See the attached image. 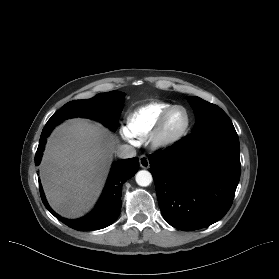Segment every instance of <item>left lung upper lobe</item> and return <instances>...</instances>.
I'll list each match as a JSON object with an SVG mask.
<instances>
[{
	"instance_id": "5c2ea615",
	"label": "left lung upper lobe",
	"mask_w": 279,
	"mask_h": 279,
	"mask_svg": "<svg viewBox=\"0 0 279 279\" xmlns=\"http://www.w3.org/2000/svg\"><path fill=\"white\" fill-rule=\"evenodd\" d=\"M196 118L192 132L214 127H234L227 114L217 105L199 97H188Z\"/></svg>"
}]
</instances>
